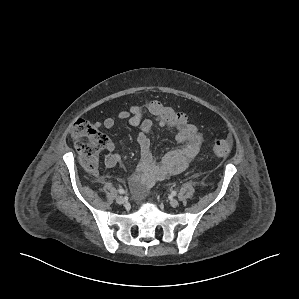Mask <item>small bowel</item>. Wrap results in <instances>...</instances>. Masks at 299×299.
Segmentation results:
<instances>
[{
    "label": "small bowel",
    "instance_id": "obj_1",
    "mask_svg": "<svg viewBox=\"0 0 299 299\" xmlns=\"http://www.w3.org/2000/svg\"><path fill=\"white\" fill-rule=\"evenodd\" d=\"M146 114L150 113L145 104L132 105L116 116L108 117L97 124L98 127L112 129L117 122L126 121L129 126L140 128L136 134V140L140 147V159L129 180L130 187L137 198L144 197L158 181L183 172L198 154L203 139L198 128L192 123L170 124L153 115V119L145 117ZM154 125L174 130L175 139L180 143L179 147L168 151L161 160L153 155L151 149ZM106 150L105 165L108 168H113L119 162L115 144L108 142Z\"/></svg>",
    "mask_w": 299,
    "mask_h": 299
}]
</instances>
